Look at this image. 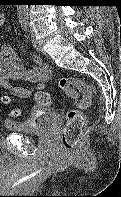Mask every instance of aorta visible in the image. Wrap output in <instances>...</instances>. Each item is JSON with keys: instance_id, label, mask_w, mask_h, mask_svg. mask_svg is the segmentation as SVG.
I'll use <instances>...</instances> for the list:
<instances>
[{"instance_id": "762f6f07", "label": "aorta", "mask_w": 121, "mask_h": 197, "mask_svg": "<svg viewBox=\"0 0 121 197\" xmlns=\"http://www.w3.org/2000/svg\"><path fill=\"white\" fill-rule=\"evenodd\" d=\"M17 14L19 19L27 20L29 16L28 5H18Z\"/></svg>"}]
</instances>
